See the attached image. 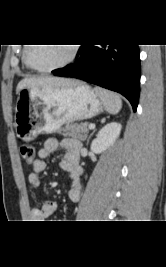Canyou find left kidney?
I'll use <instances>...</instances> for the list:
<instances>
[{
	"label": "left kidney",
	"mask_w": 166,
	"mask_h": 267,
	"mask_svg": "<svg viewBox=\"0 0 166 267\" xmlns=\"http://www.w3.org/2000/svg\"><path fill=\"white\" fill-rule=\"evenodd\" d=\"M121 124L111 122L105 125L91 143V150L94 153H102L111 147L120 135Z\"/></svg>",
	"instance_id": "1"
}]
</instances>
